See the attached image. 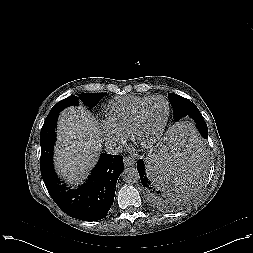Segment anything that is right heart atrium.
<instances>
[{
	"label": "right heart atrium",
	"instance_id": "d8ad5b80",
	"mask_svg": "<svg viewBox=\"0 0 253 253\" xmlns=\"http://www.w3.org/2000/svg\"><path fill=\"white\" fill-rule=\"evenodd\" d=\"M101 130L105 136V139L107 141V143L109 144H120L124 141V136L115 133L110 126L108 125V123L102 122L101 124Z\"/></svg>",
	"mask_w": 253,
	"mask_h": 253
}]
</instances>
